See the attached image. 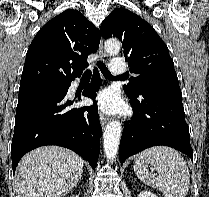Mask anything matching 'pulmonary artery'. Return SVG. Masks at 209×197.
I'll return each mask as SVG.
<instances>
[{
    "mask_svg": "<svg viewBox=\"0 0 209 197\" xmlns=\"http://www.w3.org/2000/svg\"><path fill=\"white\" fill-rule=\"evenodd\" d=\"M109 67L110 71L114 74H125L127 72V67L121 57L114 58Z\"/></svg>",
    "mask_w": 209,
    "mask_h": 197,
    "instance_id": "e3ab8cb5",
    "label": "pulmonary artery"
}]
</instances>
